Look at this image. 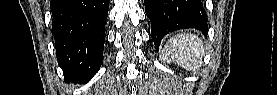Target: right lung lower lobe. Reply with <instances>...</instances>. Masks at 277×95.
<instances>
[{"instance_id":"right-lung-lower-lobe-1","label":"right lung lower lobe","mask_w":277,"mask_h":95,"mask_svg":"<svg viewBox=\"0 0 277 95\" xmlns=\"http://www.w3.org/2000/svg\"><path fill=\"white\" fill-rule=\"evenodd\" d=\"M52 34L67 81L85 82L100 69L109 0H51Z\"/></svg>"}]
</instances>
